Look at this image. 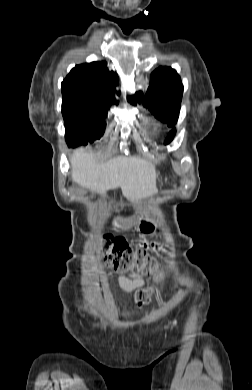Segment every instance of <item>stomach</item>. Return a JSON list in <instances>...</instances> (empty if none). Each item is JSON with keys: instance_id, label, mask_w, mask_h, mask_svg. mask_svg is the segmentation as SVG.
<instances>
[{"instance_id": "stomach-1", "label": "stomach", "mask_w": 252, "mask_h": 390, "mask_svg": "<svg viewBox=\"0 0 252 390\" xmlns=\"http://www.w3.org/2000/svg\"><path fill=\"white\" fill-rule=\"evenodd\" d=\"M134 219L136 221L138 229L144 233H150L157 224L156 220L149 214H140ZM113 225L115 230H123L127 228V225L123 224L119 220H115Z\"/></svg>"}]
</instances>
